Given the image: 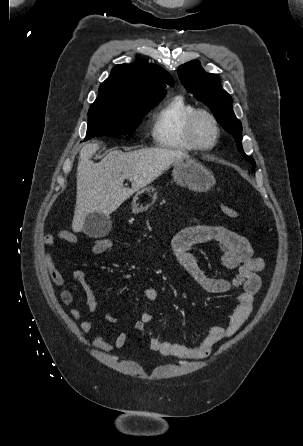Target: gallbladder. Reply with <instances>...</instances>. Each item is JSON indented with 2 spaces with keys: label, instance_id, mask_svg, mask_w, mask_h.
<instances>
[{
  "label": "gallbladder",
  "instance_id": "bac80fb5",
  "mask_svg": "<svg viewBox=\"0 0 303 446\" xmlns=\"http://www.w3.org/2000/svg\"><path fill=\"white\" fill-rule=\"evenodd\" d=\"M111 227L112 222L108 216L92 213L85 218L83 231L90 237L98 238L107 235Z\"/></svg>",
  "mask_w": 303,
  "mask_h": 446
}]
</instances>
